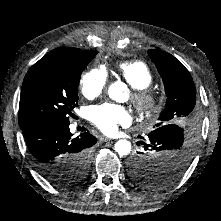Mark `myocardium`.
I'll return each instance as SVG.
<instances>
[{"instance_id":"obj_1","label":"myocardium","mask_w":221,"mask_h":221,"mask_svg":"<svg viewBox=\"0 0 221 221\" xmlns=\"http://www.w3.org/2000/svg\"><path fill=\"white\" fill-rule=\"evenodd\" d=\"M132 102L139 114L152 117L160 110L161 96L149 87L134 89Z\"/></svg>"}]
</instances>
